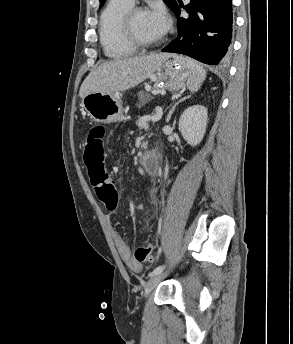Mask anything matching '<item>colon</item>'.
Returning <instances> with one entry per match:
<instances>
[{"label": "colon", "mask_w": 293, "mask_h": 344, "mask_svg": "<svg viewBox=\"0 0 293 344\" xmlns=\"http://www.w3.org/2000/svg\"><path fill=\"white\" fill-rule=\"evenodd\" d=\"M104 137V127L95 126L90 129L86 139L84 160L98 199L104 203L107 209L114 210L118 205L119 197L114 183L104 169L106 157ZM134 258L140 262L153 260V243L146 241L139 245L134 252Z\"/></svg>", "instance_id": "5ec220e1"}]
</instances>
